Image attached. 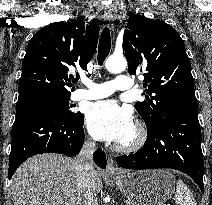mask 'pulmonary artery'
<instances>
[{
    "instance_id": "pulmonary-artery-1",
    "label": "pulmonary artery",
    "mask_w": 212,
    "mask_h": 205,
    "mask_svg": "<svg viewBox=\"0 0 212 205\" xmlns=\"http://www.w3.org/2000/svg\"><path fill=\"white\" fill-rule=\"evenodd\" d=\"M82 82L86 88L77 89L74 92L75 100L100 99L113 94L117 90H128L133 86L131 78L124 74L117 75L114 80L103 83H95L88 79H83Z\"/></svg>"
}]
</instances>
